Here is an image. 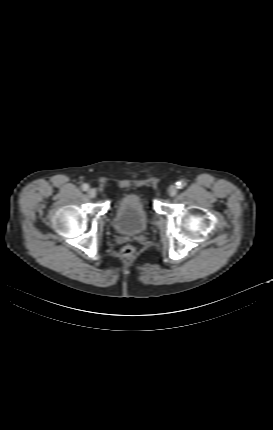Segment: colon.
<instances>
[{"label": "colon", "instance_id": "colon-1", "mask_svg": "<svg viewBox=\"0 0 273 430\" xmlns=\"http://www.w3.org/2000/svg\"><path fill=\"white\" fill-rule=\"evenodd\" d=\"M134 253H135V248L131 245H126L121 250V255L127 259L131 258L134 255Z\"/></svg>", "mask_w": 273, "mask_h": 430}]
</instances>
